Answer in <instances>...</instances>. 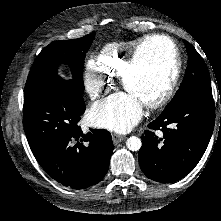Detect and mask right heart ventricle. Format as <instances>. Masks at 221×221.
Wrapping results in <instances>:
<instances>
[{
    "label": "right heart ventricle",
    "mask_w": 221,
    "mask_h": 221,
    "mask_svg": "<svg viewBox=\"0 0 221 221\" xmlns=\"http://www.w3.org/2000/svg\"><path fill=\"white\" fill-rule=\"evenodd\" d=\"M142 37L107 44L98 57V66L109 77H119L125 67L129 54Z\"/></svg>",
    "instance_id": "1"
}]
</instances>
